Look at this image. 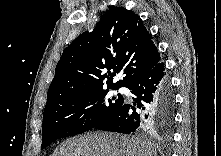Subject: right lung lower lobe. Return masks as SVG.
<instances>
[{"label":"right lung lower lobe","mask_w":221,"mask_h":156,"mask_svg":"<svg viewBox=\"0 0 221 156\" xmlns=\"http://www.w3.org/2000/svg\"><path fill=\"white\" fill-rule=\"evenodd\" d=\"M136 96L121 105L94 128L131 134L139 128L169 127L174 117V94L163 62L131 80L126 86Z\"/></svg>","instance_id":"obj_1"}]
</instances>
